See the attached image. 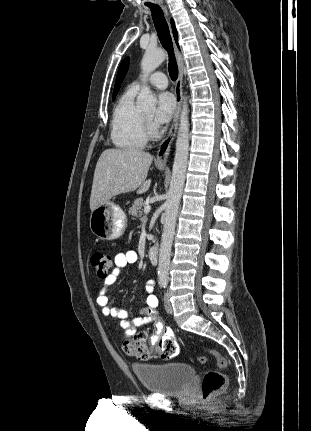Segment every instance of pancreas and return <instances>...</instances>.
<instances>
[{
  "mask_svg": "<svg viewBox=\"0 0 311 431\" xmlns=\"http://www.w3.org/2000/svg\"><path fill=\"white\" fill-rule=\"evenodd\" d=\"M146 202H144L143 198H137L135 202H133L131 208H128V214L129 216H135L132 217V219H136V217H140L142 214L143 208H145Z\"/></svg>",
  "mask_w": 311,
  "mask_h": 431,
  "instance_id": "obj_1",
  "label": "pancreas"
}]
</instances>
